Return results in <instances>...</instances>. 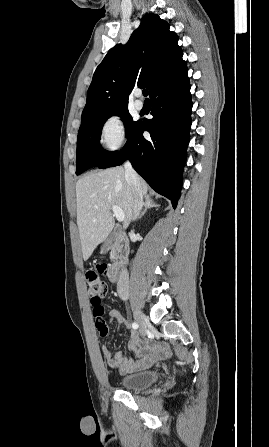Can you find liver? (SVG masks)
<instances>
[{
    "label": "liver",
    "instance_id": "liver-1",
    "mask_svg": "<svg viewBox=\"0 0 269 447\" xmlns=\"http://www.w3.org/2000/svg\"><path fill=\"white\" fill-rule=\"evenodd\" d=\"M142 194L147 196L148 186L139 178ZM77 225L83 259H88L96 245L105 241L114 227L113 206L124 212L126 229L133 218L134 198L131 184L126 182L124 168L94 170L76 184Z\"/></svg>",
    "mask_w": 269,
    "mask_h": 447
}]
</instances>
